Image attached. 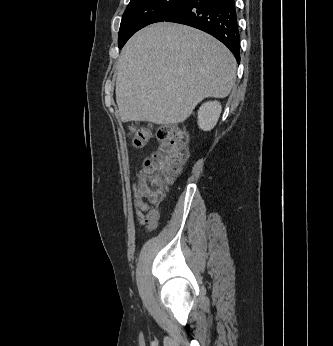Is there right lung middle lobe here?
<instances>
[{
  "label": "right lung middle lobe",
  "instance_id": "obj_1",
  "mask_svg": "<svg viewBox=\"0 0 333 346\" xmlns=\"http://www.w3.org/2000/svg\"><path fill=\"white\" fill-rule=\"evenodd\" d=\"M183 1L131 0L122 17L118 36L119 48L141 28L164 21Z\"/></svg>",
  "mask_w": 333,
  "mask_h": 346
}]
</instances>
